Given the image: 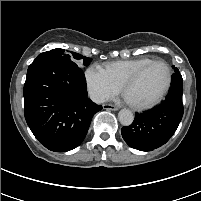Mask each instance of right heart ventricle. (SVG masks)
<instances>
[{
  "label": "right heart ventricle",
  "instance_id": "right-heart-ventricle-1",
  "mask_svg": "<svg viewBox=\"0 0 201 201\" xmlns=\"http://www.w3.org/2000/svg\"><path fill=\"white\" fill-rule=\"evenodd\" d=\"M152 60L148 57L119 60L105 65V70L114 80V82L121 87L122 83L139 67Z\"/></svg>",
  "mask_w": 201,
  "mask_h": 201
}]
</instances>
